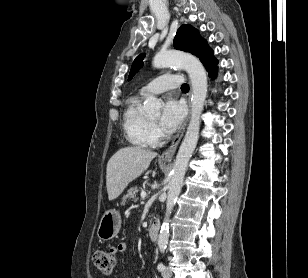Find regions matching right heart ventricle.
I'll return each mask as SVG.
<instances>
[{
  "mask_svg": "<svg viewBox=\"0 0 308 278\" xmlns=\"http://www.w3.org/2000/svg\"><path fill=\"white\" fill-rule=\"evenodd\" d=\"M141 97L132 96L126 102L123 113V128L128 141L137 147L152 145L150 139L151 122L140 111Z\"/></svg>",
  "mask_w": 308,
  "mask_h": 278,
  "instance_id": "e07e8e85",
  "label": "right heart ventricle"
}]
</instances>
